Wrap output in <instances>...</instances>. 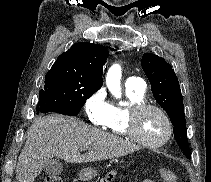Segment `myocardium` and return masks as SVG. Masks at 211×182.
Wrapping results in <instances>:
<instances>
[{
	"instance_id": "myocardium-1",
	"label": "myocardium",
	"mask_w": 211,
	"mask_h": 182,
	"mask_svg": "<svg viewBox=\"0 0 211 182\" xmlns=\"http://www.w3.org/2000/svg\"><path fill=\"white\" fill-rule=\"evenodd\" d=\"M150 109L157 111L162 116L167 126V131L165 136L160 141L155 143L148 142L142 139L138 132V119L140 115L144 113L146 110ZM127 123H128V133L130 137L141 146L148 148H160L164 146L166 143H168L173 134L172 121L168 116V114L166 113V111L156 104L145 101L136 103L130 107L127 117Z\"/></svg>"
}]
</instances>
